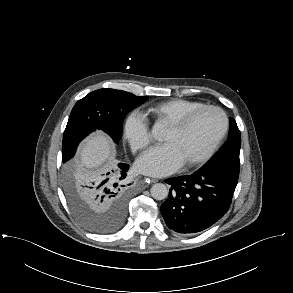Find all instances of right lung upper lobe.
<instances>
[{"instance_id": "obj_1", "label": "right lung upper lobe", "mask_w": 293, "mask_h": 293, "mask_svg": "<svg viewBox=\"0 0 293 293\" xmlns=\"http://www.w3.org/2000/svg\"><path fill=\"white\" fill-rule=\"evenodd\" d=\"M67 167H70V168L73 169L74 171H77V169H76L74 166L70 165V164H68Z\"/></svg>"}]
</instances>
